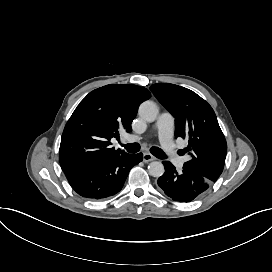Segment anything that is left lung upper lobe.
<instances>
[{
	"label": "left lung upper lobe",
	"instance_id": "left-lung-upper-lobe-1",
	"mask_svg": "<svg viewBox=\"0 0 272 272\" xmlns=\"http://www.w3.org/2000/svg\"><path fill=\"white\" fill-rule=\"evenodd\" d=\"M154 95L175 117V136L188 139L191 159L184 168L215 182L223 171L227 143L211 106L193 91L169 83L153 84Z\"/></svg>",
	"mask_w": 272,
	"mask_h": 272
}]
</instances>
